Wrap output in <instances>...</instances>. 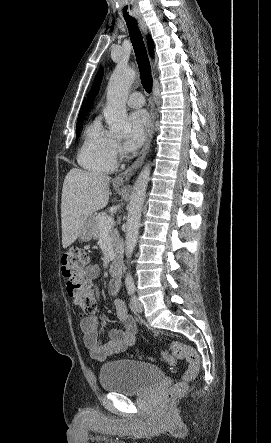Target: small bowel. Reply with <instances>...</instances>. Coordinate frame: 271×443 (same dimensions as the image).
<instances>
[{"instance_id":"obj_1","label":"small bowel","mask_w":271,"mask_h":443,"mask_svg":"<svg viewBox=\"0 0 271 443\" xmlns=\"http://www.w3.org/2000/svg\"><path fill=\"white\" fill-rule=\"evenodd\" d=\"M85 275L90 280L99 276V268L96 265H90L85 270ZM119 291V283L113 282L109 286V293L116 297ZM116 315L121 321L122 329H112L109 332V338L106 342H101L99 335V325L97 318L92 315L81 317L80 328L84 334V342L89 349L91 356L99 361H104L108 357L124 352L129 346L133 345L136 337V325L127 312L124 303L115 299L114 302Z\"/></svg>"}]
</instances>
